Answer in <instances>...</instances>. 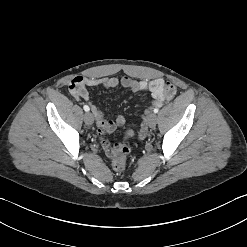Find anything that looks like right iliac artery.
Masks as SVG:
<instances>
[{
  "label": "right iliac artery",
  "instance_id": "obj_1",
  "mask_svg": "<svg viewBox=\"0 0 247 247\" xmlns=\"http://www.w3.org/2000/svg\"><path fill=\"white\" fill-rule=\"evenodd\" d=\"M83 109H84L86 112H88V111L90 110L89 106H87V105H84Z\"/></svg>",
  "mask_w": 247,
  "mask_h": 247
}]
</instances>
